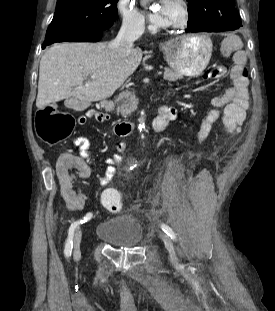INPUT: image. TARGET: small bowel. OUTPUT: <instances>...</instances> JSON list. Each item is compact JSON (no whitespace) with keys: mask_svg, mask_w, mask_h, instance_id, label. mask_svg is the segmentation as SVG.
<instances>
[{"mask_svg":"<svg viewBox=\"0 0 275 311\" xmlns=\"http://www.w3.org/2000/svg\"><path fill=\"white\" fill-rule=\"evenodd\" d=\"M242 41L236 36L227 37L224 40L223 57H233L234 66L230 72V86L223 94L216 95L211 100L212 109L206 115L203 123L198 125V139L202 141L207 134L211 132L213 124L221 118H239L240 126L245 120L246 111L249 106L248 79L246 73V54L241 49ZM72 108L83 109L81 103H73ZM162 110H156V118L153 122L155 132H162L167 125L177 117V110L171 106H162ZM87 118H94L99 122L109 119L105 113L94 109L86 111L85 116L79 118V125H84ZM230 133L239 130H226ZM74 145L79 149V155L76 150H62L61 155L56 156L59 162L58 169L54 174L57 180L61 182L63 196L67 199V206L80 210L84 205L83 195L75 188L70 180H85L89 177L90 171L87 168L89 160L90 140L85 136L75 137ZM126 148L125 142H119L116 146L117 154L106 159L107 168L103 177L100 178V184L107 186L116 173L115 165L123 162L121 153ZM83 159V160H82ZM70 171H73L71 173Z\"/></svg>","mask_w":275,"mask_h":311,"instance_id":"c3829d8e","label":"small bowel"}]
</instances>
